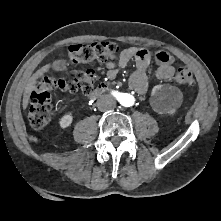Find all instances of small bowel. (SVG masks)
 Instances as JSON below:
<instances>
[{
  "instance_id": "obj_1",
  "label": "small bowel",
  "mask_w": 221,
  "mask_h": 221,
  "mask_svg": "<svg viewBox=\"0 0 221 221\" xmlns=\"http://www.w3.org/2000/svg\"><path fill=\"white\" fill-rule=\"evenodd\" d=\"M131 60L136 63V70L129 78L128 87L137 94L144 95L149 88L147 72L152 64V57L148 50L140 47L124 49L117 61L105 62L106 76L109 80L115 79ZM155 60L157 63L155 77L158 80L172 78L175 73V68L172 65L173 57L167 52L160 51L156 53Z\"/></svg>"
}]
</instances>
